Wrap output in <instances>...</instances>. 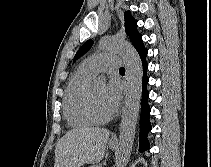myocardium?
Listing matches in <instances>:
<instances>
[{
  "instance_id": "obj_1",
  "label": "myocardium",
  "mask_w": 211,
  "mask_h": 167,
  "mask_svg": "<svg viewBox=\"0 0 211 167\" xmlns=\"http://www.w3.org/2000/svg\"><path fill=\"white\" fill-rule=\"evenodd\" d=\"M85 108H86L87 113L95 121V123H99V124L107 123L110 120H112L114 117L113 114L109 116H101L96 112L93 106V102H92L90 87L87 88L86 93H85Z\"/></svg>"
}]
</instances>
